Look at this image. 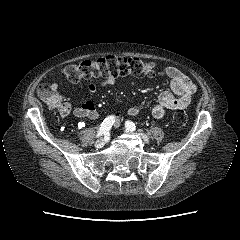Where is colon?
<instances>
[{
    "label": "colon",
    "mask_w": 240,
    "mask_h": 240,
    "mask_svg": "<svg viewBox=\"0 0 240 240\" xmlns=\"http://www.w3.org/2000/svg\"><path fill=\"white\" fill-rule=\"evenodd\" d=\"M64 75L72 84L101 77H153L155 75V65L151 62H144L139 58L107 56L95 61L88 60L77 65L67 66ZM38 94L51 109H59L61 106V97L51 84H42L38 89ZM187 121L188 116L182 110L176 111L172 115V122L176 127L185 126Z\"/></svg>",
    "instance_id": "1"
}]
</instances>
